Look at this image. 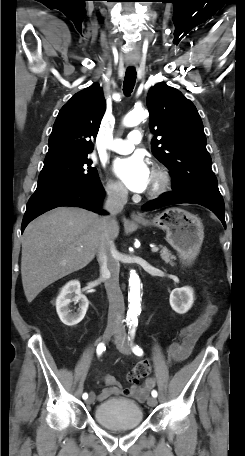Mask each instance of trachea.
I'll list each match as a JSON object with an SVG mask.
<instances>
[{"instance_id": "obj_1", "label": "trachea", "mask_w": 245, "mask_h": 456, "mask_svg": "<svg viewBox=\"0 0 245 456\" xmlns=\"http://www.w3.org/2000/svg\"><path fill=\"white\" fill-rule=\"evenodd\" d=\"M135 82H136V70L134 67H129L126 70L124 83H123V91H124L125 95H129L132 92V90L135 86Z\"/></svg>"}]
</instances>
